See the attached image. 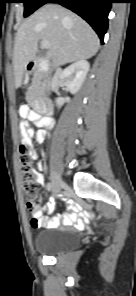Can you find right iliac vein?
Wrapping results in <instances>:
<instances>
[{
	"label": "right iliac vein",
	"instance_id": "1",
	"mask_svg": "<svg viewBox=\"0 0 136 296\" xmlns=\"http://www.w3.org/2000/svg\"><path fill=\"white\" fill-rule=\"evenodd\" d=\"M66 184L62 181L60 176L55 172L52 171V191L53 195L56 197L58 196L61 188H66Z\"/></svg>",
	"mask_w": 136,
	"mask_h": 296
}]
</instances>
